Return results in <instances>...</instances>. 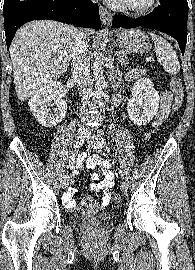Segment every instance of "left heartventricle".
<instances>
[{"label": "left heart ventricle", "mask_w": 195, "mask_h": 270, "mask_svg": "<svg viewBox=\"0 0 195 270\" xmlns=\"http://www.w3.org/2000/svg\"><path fill=\"white\" fill-rule=\"evenodd\" d=\"M126 2L133 4V5H143L145 4L148 0H125Z\"/></svg>", "instance_id": "1"}]
</instances>
